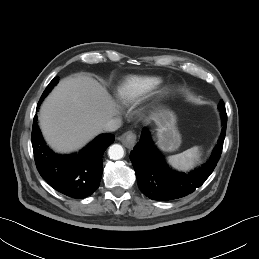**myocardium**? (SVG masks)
Segmentation results:
<instances>
[{
    "label": "myocardium",
    "instance_id": "obj_1",
    "mask_svg": "<svg viewBox=\"0 0 259 259\" xmlns=\"http://www.w3.org/2000/svg\"><path fill=\"white\" fill-rule=\"evenodd\" d=\"M167 95V91L165 89L158 90L153 97V103L158 104L161 103Z\"/></svg>",
    "mask_w": 259,
    "mask_h": 259
}]
</instances>
